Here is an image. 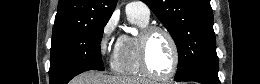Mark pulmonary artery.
Instances as JSON below:
<instances>
[{
	"instance_id": "obj_1",
	"label": "pulmonary artery",
	"mask_w": 260,
	"mask_h": 84,
	"mask_svg": "<svg viewBox=\"0 0 260 84\" xmlns=\"http://www.w3.org/2000/svg\"><path fill=\"white\" fill-rule=\"evenodd\" d=\"M127 14L137 15L145 21H149L150 10L149 8L141 1L130 2L126 6Z\"/></svg>"
}]
</instances>
